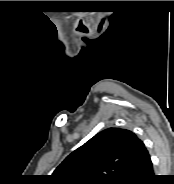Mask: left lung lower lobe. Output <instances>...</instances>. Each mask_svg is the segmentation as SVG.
Segmentation results:
<instances>
[{
	"label": "left lung lower lobe",
	"instance_id": "obj_1",
	"mask_svg": "<svg viewBox=\"0 0 174 184\" xmlns=\"http://www.w3.org/2000/svg\"><path fill=\"white\" fill-rule=\"evenodd\" d=\"M155 175L147 149L143 142L133 160L128 179L125 184H151Z\"/></svg>",
	"mask_w": 174,
	"mask_h": 184
}]
</instances>
